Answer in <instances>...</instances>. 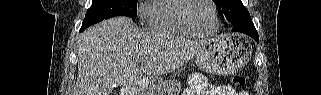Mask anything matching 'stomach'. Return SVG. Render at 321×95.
<instances>
[{"label": "stomach", "instance_id": "obj_1", "mask_svg": "<svg viewBox=\"0 0 321 95\" xmlns=\"http://www.w3.org/2000/svg\"><path fill=\"white\" fill-rule=\"evenodd\" d=\"M251 52L250 46H246L239 35H226L207 42L196 54L195 62L209 73L234 74L249 61Z\"/></svg>", "mask_w": 321, "mask_h": 95}]
</instances>
